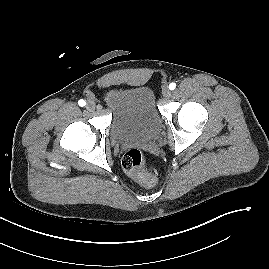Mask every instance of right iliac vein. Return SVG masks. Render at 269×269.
<instances>
[{
    "label": "right iliac vein",
    "mask_w": 269,
    "mask_h": 269,
    "mask_svg": "<svg viewBox=\"0 0 269 269\" xmlns=\"http://www.w3.org/2000/svg\"><path fill=\"white\" fill-rule=\"evenodd\" d=\"M86 108L89 111H93L95 109V103L91 100H89L86 104Z\"/></svg>",
    "instance_id": "right-iliac-vein-1"
}]
</instances>
